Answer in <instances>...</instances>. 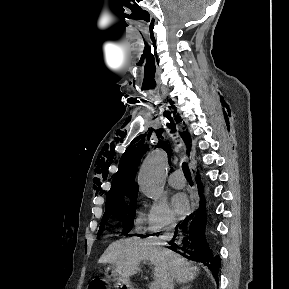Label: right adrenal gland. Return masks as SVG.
<instances>
[{
    "label": "right adrenal gland",
    "mask_w": 289,
    "mask_h": 289,
    "mask_svg": "<svg viewBox=\"0 0 289 289\" xmlns=\"http://www.w3.org/2000/svg\"><path fill=\"white\" fill-rule=\"evenodd\" d=\"M190 285L182 286L180 289L188 288Z\"/></svg>",
    "instance_id": "1"
}]
</instances>
